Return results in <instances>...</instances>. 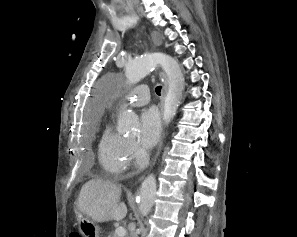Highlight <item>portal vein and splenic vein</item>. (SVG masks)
Here are the masks:
<instances>
[{
	"mask_svg": "<svg viewBox=\"0 0 297 237\" xmlns=\"http://www.w3.org/2000/svg\"><path fill=\"white\" fill-rule=\"evenodd\" d=\"M115 234L117 235V237H124L126 235V230L123 227H118L115 230Z\"/></svg>",
	"mask_w": 297,
	"mask_h": 237,
	"instance_id": "1",
	"label": "portal vein and splenic vein"
}]
</instances>
